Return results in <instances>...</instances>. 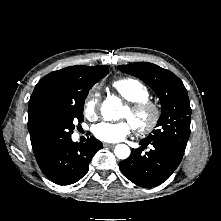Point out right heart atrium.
<instances>
[{
    "instance_id": "obj_1",
    "label": "right heart atrium",
    "mask_w": 221,
    "mask_h": 221,
    "mask_svg": "<svg viewBox=\"0 0 221 221\" xmlns=\"http://www.w3.org/2000/svg\"><path fill=\"white\" fill-rule=\"evenodd\" d=\"M100 102V93L97 88L91 89L83 103V114L88 119H93L97 116Z\"/></svg>"
}]
</instances>
